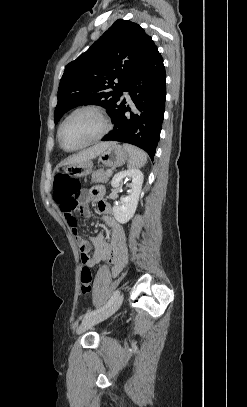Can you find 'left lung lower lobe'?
<instances>
[{"instance_id":"left-lung-lower-lobe-1","label":"left lung lower lobe","mask_w":247,"mask_h":407,"mask_svg":"<svg viewBox=\"0 0 247 407\" xmlns=\"http://www.w3.org/2000/svg\"><path fill=\"white\" fill-rule=\"evenodd\" d=\"M124 91L129 92L133 105H125V99L120 97L110 115L114 128L102 140L138 146L145 150L153 161L162 129L166 100L165 67L158 49L127 82Z\"/></svg>"}]
</instances>
